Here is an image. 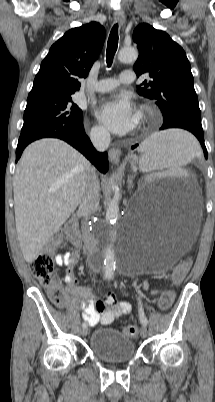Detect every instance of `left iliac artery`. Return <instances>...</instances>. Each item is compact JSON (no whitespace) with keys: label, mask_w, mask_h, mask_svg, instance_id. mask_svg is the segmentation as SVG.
Listing matches in <instances>:
<instances>
[{"label":"left iliac artery","mask_w":215,"mask_h":402,"mask_svg":"<svg viewBox=\"0 0 215 402\" xmlns=\"http://www.w3.org/2000/svg\"><path fill=\"white\" fill-rule=\"evenodd\" d=\"M138 305H139V319H140V322H141V324L143 326H146L148 321H147V318H146V316L144 314L142 303H141L140 299H139Z\"/></svg>","instance_id":"obj_1"}]
</instances>
